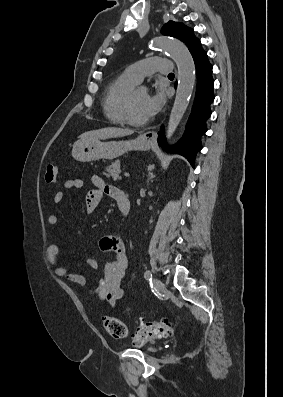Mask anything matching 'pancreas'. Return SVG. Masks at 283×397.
Masks as SVG:
<instances>
[{
  "mask_svg": "<svg viewBox=\"0 0 283 397\" xmlns=\"http://www.w3.org/2000/svg\"><path fill=\"white\" fill-rule=\"evenodd\" d=\"M106 171H107V178L112 177L114 181L117 180H121V169H120V162L119 161H115L113 163H111V165L106 167Z\"/></svg>",
  "mask_w": 283,
  "mask_h": 397,
  "instance_id": "cf45deb5",
  "label": "pancreas"
}]
</instances>
